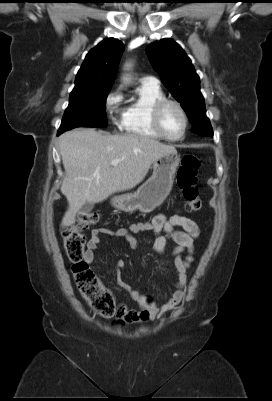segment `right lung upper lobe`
<instances>
[{
	"instance_id": "1",
	"label": "right lung upper lobe",
	"mask_w": 272,
	"mask_h": 401,
	"mask_svg": "<svg viewBox=\"0 0 272 401\" xmlns=\"http://www.w3.org/2000/svg\"><path fill=\"white\" fill-rule=\"evenodd\" d=\"M123 47L121 41L107 38L91 49L76 75L75 87L70 96L88 91L111 89Z\"/></svg>"
}]
</instances>
